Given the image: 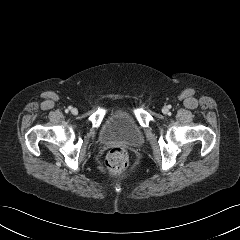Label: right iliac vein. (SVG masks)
<instances>
[{"instance_id": "obj_1", "label": "right iliac vein", "mask_w": 240, "mask_h": 240, "mask_svg": "<svg viewBox=\"0 0 240 240\" xmlns=\"http://www.w3.org/2000/svg\"><path fill=\"white\" fill-rule=\"evenodd\" d=\"M71 113L74 114V115H76V114L78 113V110H77L76 108H72V109H71Z\"/></svg>"}]
</instances>
